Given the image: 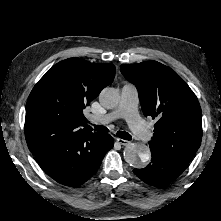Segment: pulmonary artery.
Returning <instances> with one entry per match:
<instances>
[{
	"mask_svg": "<svg viewBox=\"0 0 221 221\" xmlns=\"http://www.w3.org/2000/svg\"><path fill=\"white\" fill-rule=\"evenodd\" d=\"M138 90L135 85L126 83L121 89V101L119 107L104 115H91L90 120L96 124H107L118 118H124L133 133L142 141L152 139V132L137 112Z\"/></svg>",
	"mask_w": 221,
	"mask_h": 221,
	"instance_id": "pulmonary-artery-1",
	"label": "pulmonary artery"
}]
</instances>
